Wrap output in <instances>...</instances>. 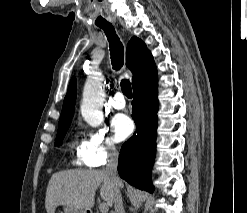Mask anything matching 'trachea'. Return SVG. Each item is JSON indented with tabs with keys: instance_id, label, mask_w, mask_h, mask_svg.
<instances>
[{
	"instance_id": "1",
	"label": "trachea",
	"mask_w": 247,
	"mask_h": 213,
	"mask_svg": "<svg viewBox=\"0 0 247 213\" xmlns=\"http://www.w3.org/2000/svg\"><path fill=\"white\" fill-rule=\"evenodd\" d=\"M102 28L107 36L109 45H110V54L111 62L113 69L119 70L124 64V49L123 45L119 40V37L116 35L115 29L112 24L107 23L99 25ZM121 89L123 94L127 98H132V89L131 83L128 79L121 80Z\"/></svg>"
}]
</instances>
